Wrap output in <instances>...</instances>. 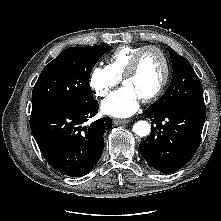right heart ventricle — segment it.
Returning <instances> with one entry per match:
<instances>
[{"label": "right heart ventricle", "mask_w": 221, "mask_h": 221, "mask_svg": "<svg viewBox=\"0 0 221 221\" xmlns=\"http://www.w3.org/2000/svg\"><path fill=\"white\" fill-rule=\"evenodd\" d=\"M148 46H122L117 48L107 61L108 70L118 79L125 73L131 59L143 47Z\"/></svg>", "instance_id": "obj_1"}]
</instances>
